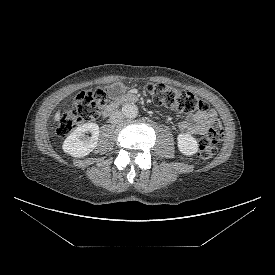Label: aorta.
I'll list each match as a JSON object with an SVG mask.
<instances>
[{
	"label": "aorta",
	"instance_id": "762f6f07",
	"mask_svg": "<svg viewBox=\"0 0 275 275\" xmlns=\"http://www.w3.org/2000/svg\"><path fill=\"white\" fill-rule=\"evenodd\" d=\"M122 113L127 118H136L138 116V107L133 103L124 104Z\"/></svg>",
	"mask_w": 275,
	"mask_h": 275
}]
</instances>
